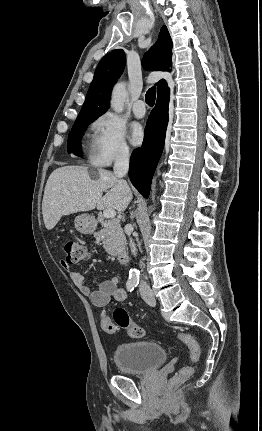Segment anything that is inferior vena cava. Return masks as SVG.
<instances>
[{
  "label": "inferior vena cava",
  "instance_id": "1",
  "mask_svg": "<svg viewBox=\"0 0 262 431\" xmlns=\"http://www.w3.org/2000/svg\"><path fill=\"white\" fill-rule=\"evenodd\" d=\"M128 168H129V150L127 148H122L115 156V162H114V168H113L114 175L118 178H122L127 174ZM129 245L132 253L136 255L137 250L131 238H130ZM139 288L141 292L148 291L150 289L147 283L143 280H141Z\"/></svg>",
  "mask_w": 262,
  "mask_h": 431
}]
</instances>
